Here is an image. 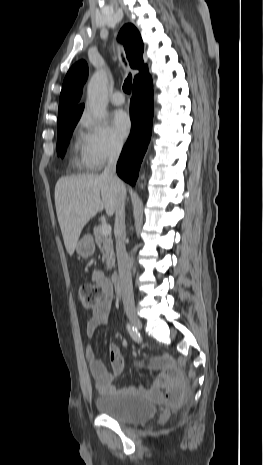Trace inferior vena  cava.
<instances>
[{"label":"inferior vena cava","mask_w":263,"mask_h":465,"mask_svg":"<svg viewBox=\"0 0 263 465\" xmlns=\"http://www.w3.org/2000/svg\"><path fill=\"white\" fill-rule=\"evenodd\" d=\"M123 143L115 142L109 152L108 164L102 177L109 179L120 191V197L116 206L114 234L116 239V256L120 278V287L125 309H134V296L131 277V263L125 248V187L116 174V165L122 150Z\"/></svg>","instance_id":"1"}]
</instances>
